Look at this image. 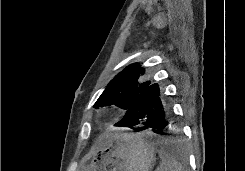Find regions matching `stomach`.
Segmentation results:
<instances>
[{
    "label": "stomach",
    "instance_id": "obj_1",
    "mask_svg": "<svg viewBox=\"0 0 245 171\" xmlns=\"http://www.w3.org/2000/svg\"><path fill=\"white\" fill-rule=\"evenodd\" d=\"M155 160L145 135L116 132L102 140L82 171H151Z\"/></svg>",
    "mask_w": 245,
    "mask_h": 171
}]
</instances>
